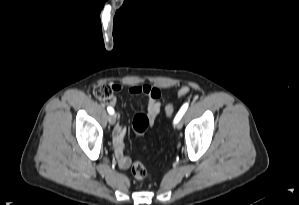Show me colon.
Returning a JSON list of instances; mask_svg holds the SVG:
<instances>
[{
    "label": "colon",
    "mask_w": 299,
    "mask_h": 205,
    "mask_svg": "<svg viewBox=\"0 0 299 205\" xmlns=\"http://www.w3.org/2000/svg\"><path fill=\"white\" fill-rule=\"evenodd\" d=\"M114 91L113 85L108 83H99L94 87L93 93L95 97L105 103L112 104L114 102ZM191 90L189 87H182L178 91V97H183L190 94ZM173 104H169L166 107V115L170 116L173 113ZM133 130L136 136L141 137L149 126V120L145 114H137L132 122ZM131 174L137 181H143L147 177V169L141 162H134L131 166Z\"/></svg>",
    "instance_id": "5ec220e1"
}]
</instances>
